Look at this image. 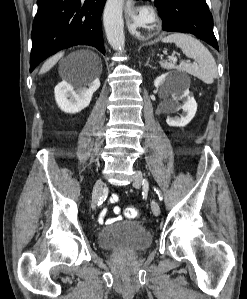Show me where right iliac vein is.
Masks as SVG:
<instances>
[{
	"instance_id": "1",
	"label": "right iliac vein",
	"mask_w": 247,
	"mask_h": 299,
	"mask_svg": "<svg viewBox=\"0 0 247 299\" xmlns=\"http://www.w3.org/2000/svg\"><path fill=\"white\" fill-rule=\"evenodd\" d=\"M103 185L104 183L101 179H99L94 185L92 202H91L92 209H95L97 207V204L102 194Z\"/></svg>"
}]
</instances>
